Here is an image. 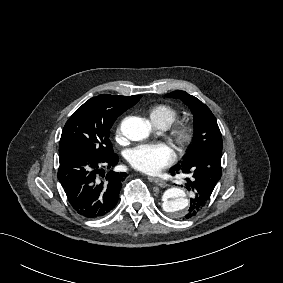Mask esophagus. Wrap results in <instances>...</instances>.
<instances>
[{
	"instance_id": "1",
	"label": "esophagus",
	"mask_w": 283,
	"mask_h": 283,
	"mask_svg": "<svg viewBox=\"0 0 283 283\" xmlns=\"http://www.w3.org/2000/svg\"><path fill=\"white\" fill-rule=\"evenodd\" d=\"M150 179H151L156 185H158L159 187H167V186H168V184H167L164 180H162V179H160V178H157V177H150Z\"/></svg>"
}]
</instances>
